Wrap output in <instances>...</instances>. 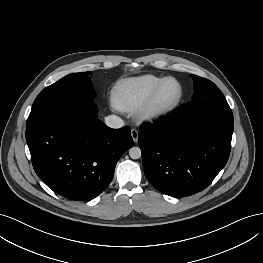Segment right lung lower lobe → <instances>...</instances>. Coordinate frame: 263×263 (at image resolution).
<instances>
[{"instance_id":"1","label":"right lung lower lobe","mask_w":263,"mask_h":263,"mask_svg":"<svg viewBox=\"0 0 263 263\" xmlns=\"http://www.w3.org/2000/svg\"><path fill=\"white\" fill-rule=\"evenodd\" d=\"M26 141L39 178L77 201L98 196L111 182L120 157L133 146L130 128L107 127L97 119L91 98L76 113L60 109L26 128Z\"/></svg>"}]
</instances>
